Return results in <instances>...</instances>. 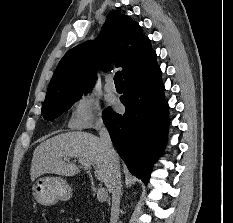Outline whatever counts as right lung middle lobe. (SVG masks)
<instances>
[{"label": "right lung middle lobe", "mask_w": 233, "mask_h": 223, "mask_svg": "<svg viewBox=\"0 0 233 223\" xmlns=\"http://www.w3.org/2000/svg\"><path fill=\"white\" fill-rule=\"evenodd\" d=\"M85 91L70 95L62 100L42 106V114L45 120H53L68 110L72 103L78 100Z\"/></svg>", "instance_id": "dd1d6c3e"}]
</instances>
